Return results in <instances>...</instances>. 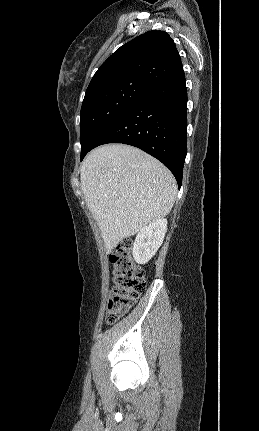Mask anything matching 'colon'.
<instances>
[{
	"label": "colon",
	"instance_id": "obj_1",
	"mask_svg": "<svg viewBox=\"0 0 259 431\" xmlns=\"http://www.w3.org/2000/svg\"><path fill=\"white\" fill-rule=\"evenodd\" d=\"M112 285L109 290L105 319L108 324L119 320L139 299L146 288L144 271L132 259V241L122 240L111 252Z\"/></svg>",
	"mask_w": 259,
	"mask_h": 431
}]
</instances>
